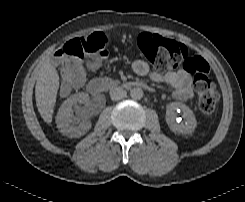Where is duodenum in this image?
Instances as JSON below:
<instances>
[{"label": "duodenum", "instance_id": "1", "mask_svg": "<svg viewBox=\"0 0 245 202\" xmlns=\"http://www.w3.org/2000/svg\"><path fill=\"white\" fill-rule=\"evenodd\" d=\"M135 89L140 88L149 92H153V89L150 85L141 81H129L126 83H118L115 80L109 78H96L89 82L88 91L92 96H97L105 90L109 89Z\"/></svg>", "mask_w": 245, "mask_h": 202}]
</instances>
